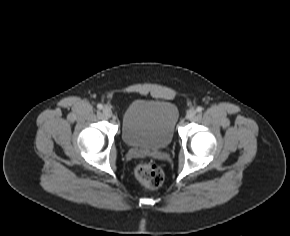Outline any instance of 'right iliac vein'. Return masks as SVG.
Wrapping results in <instances>:
<instances>
[{"mask_svg": "<svg viewBox=\"0 0 290 236\" xmlns=\"http://www.w3.org/2000/svg\"><path fill=\"white\" fill-rule=\"evenodd\" d=\"M102 112L104 114L105 117L107 118H110L112 116V111L109 107L105 106L103 109H102Z\"/></svg>", "mask_w": 290, "mask_h": 236, "instance_id": "63e3f726", "label": "right iliac vein"}]
</instances>
